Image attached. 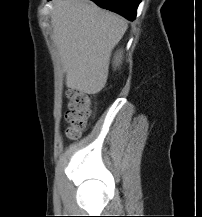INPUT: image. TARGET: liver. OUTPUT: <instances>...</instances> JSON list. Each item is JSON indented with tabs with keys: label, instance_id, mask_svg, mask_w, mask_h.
Segmentation results:
<instances>
[{
	"label": "liver",
	"instance_id": "6515ba94",
	"mask_svg": "<svg viewBox=\"0 0 202 217\" xmlns=\"http://www.w3.org/2000/svg\"><path fill=\"white\" fill-rule=\"evenodd\" d=\"M51 22L66 86L99 93L107 82L111 52L127 30L126 20L89 0H54Z\"/></svg>",
	"mask_w": 202,
	"mask_h": 217
}]
</instances>
